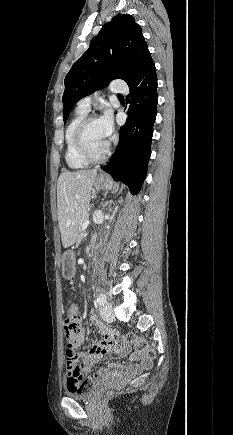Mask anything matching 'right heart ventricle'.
Here are the masks:
<instances>
[{"label":"right heart ventricle","instance_id":"1","mask_svg":"<svg viewBox=\"0 0 233 435\" xmlns=\"http://www.w3.org/2000/svg\"><path fill=\"white\" fill-rule=\"evenodd\" d=\"M87 113L77 109L65 129V160L71 169H82L89 165L80 154L75 145V131L79 123L86 117Z\"/></svg>","mask_w":233,"mask_h":435}]
</instances>
